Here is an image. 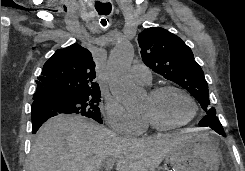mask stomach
Wrapping results in <instances>:
<instances>
[{
  "label": "stomach",
  "instance_id": "1",
  "mask_svg": "<svg viewBox=\"0 0 245 171\" xmlns=\"http://www.w3.org/2000/svg\"><path fill=\"white\" fill-rule=\"evenodd\" d=\"M218 139L211 132H196L173 148L165 158V171H218Z\"/></svg>",
  "mask_w": 245,
  "mask_h": 171
}]
</instances>
